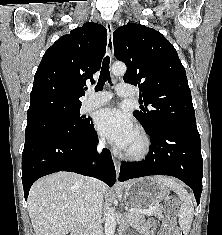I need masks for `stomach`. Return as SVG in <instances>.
I'll return each mask as SVG.
<instances>
[{
  "mask_svg": "<svg viewBox=\"0 0 222 235\" xmlns=\"http://www.w3.org/2000/svg\"><path fill=\"white\" fill-rule=\"evenodd\" d=\"M168 187L155 180V177L131 180L124 185V199L127 206L143 209L163 200Z\"/></svg>",
  "mask_w": 222,
  "mask_h": 235,
  "instance_id": "obj_1",
  "label": "stomach"
}]
</instances>
